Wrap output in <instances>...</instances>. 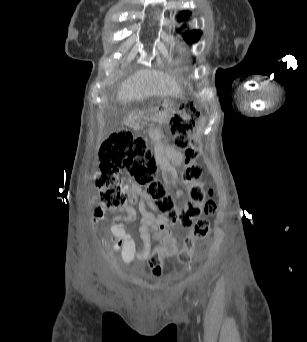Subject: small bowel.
<instances>
[{
  "instance_id": "obj_1",
  "label": "small bowel",
  "mask_w": 307,
  "mask_h": 342,
  "mask_svg": "<svg viewBox=\"0 0 307 342\" xmlns=\"http://www.w3.org/2000/svg\"><path fill=\"white\" fill-rule=\"evenodd\" d=\"M183 159L182 153L174 148H169L166 155H161L160 166L163 171V177L166 183L174 185L177 183V173L173 165L181 164ZM173 164V165H172ZM134 192L141 194L142 199L139 203V211L141 214V227L140 235L142 239V246L137 247L134 238L128 233L125 225L122 221L117 220L111 226L112 237L110 239L111 250L113 252L120 251L121 261L123 264H130L133 260H145L150 252H147V247L145 246V241L150 238L149 229H152V225H167L163 215L155 217L152 213L148 212L145 208V201L152 204L151 200L142 192V189L136 184H132ZM182 192L179 191L177 196H181ZM127 213L134 214L135 212L132 208H127ZM103 212L101 208L97 209L92 216V223L96 225L102 218ZM135 219V218H134ZM133 219V220H134ZM125 220L130 221L125 218ZM132 221V220H131ZM157 237V236H155ZM176 240V239H169ZM178 249V247H177Z\"/></svg>"
}]
</instances>
